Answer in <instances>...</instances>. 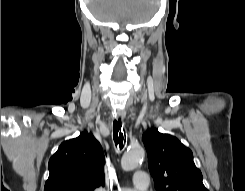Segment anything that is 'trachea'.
<instances>
[{"label":"trachea","mask_w":245,"mask_h":191,"mask_svg":"<svg viewBox=\"0 0 245 191\" xmlns=\"http://www.w3.org/2000/svg\"><path fill=\"white\" fill-rule=\"evenodd\" d=\"M113 136L116 146L119 144L120 149H122L126 142V132L122 126L121 119L114 120L113 122Z\"/></svg>","instance_id":"1"}]
</instances>
